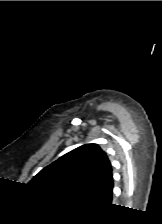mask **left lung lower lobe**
<instances>
[{
	"instance_id": "obj_1",
	"label": "left lung lower lobe",
	"mask_w": 162,
	"mask_h": 224,
	"mask_svg": "<svg viewBox=\"0 0 162 224\" xmlns=\"http://www.w3.org/2000/svg\"><path fill=\"white\" fill-rule=\"evenodd\" d=\"M112 193L113 177L111 176L97 191L93 192L86 199L92 202L110 205L112 201Z\"/></svg>"
}]
</instances>
